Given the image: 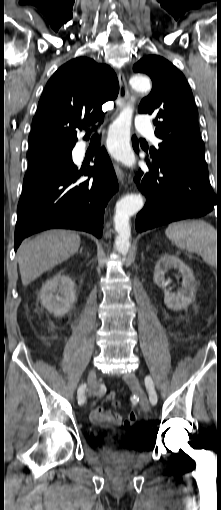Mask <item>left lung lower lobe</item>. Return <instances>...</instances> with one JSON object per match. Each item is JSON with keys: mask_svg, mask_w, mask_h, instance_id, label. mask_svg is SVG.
I'll return each mask as SVG.
<instances>
[{"mask_svg": "<svg viewBox=\"0 0 221 510\" xmlns=\"http://www.w3.org/2000/svg\"><path fill=\"white\" fill-rule=\"evenodd\" d=\"M133 147L138 152L136 138ZM146 162L149 172L139 170L134 179L147 197L144 208L137 214L136 230L143 232L173 221L204 216L217 205V235L221 247V197L215 196L208 175L182 166Z\"/></svg>", "mask_w": 221, "mask_h": 510, "instance_id": "left-lung-lower-lobe-1", "label": "left lung lower lobe"}]
</instances>
